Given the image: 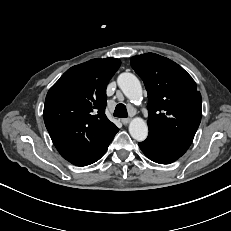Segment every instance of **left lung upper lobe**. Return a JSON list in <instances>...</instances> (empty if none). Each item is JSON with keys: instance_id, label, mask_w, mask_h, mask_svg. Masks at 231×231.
<instances>
[{"instance_id": "5c2ea615", "label": "left lung upper lobe", "mask_w": 231, "mask_h": 231, "mask_svg": "<svg viewBox=\"0 0 231 231\" xmlns=\"http://www.w3.org/2000/svg\"><path fill=\"white\" fill-rule=\"evenodd\" d=\"M148 93L149 133L188 149L201 121V94L177 63L146 53L131 58Z\"/></svg>"}]
</instances>
